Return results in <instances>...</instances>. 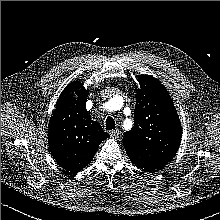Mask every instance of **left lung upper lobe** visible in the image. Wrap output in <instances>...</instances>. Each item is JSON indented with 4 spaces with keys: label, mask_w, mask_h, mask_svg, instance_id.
Wrapping results in <instances>:
<instances>
[{
    "label": "left lung upper lobe",
    "mask_w": 220,
    "mask_h": 220,
    "mask_svg": "<svg viewBox=\"0 0 220 220\" xmlns=\"http://www.w3.org/2000/svg\"><path fill=\"white\" fill-rule=\"evenodd\" d=\"M134 126L123 145L129 159L146 172H157L176 155L182 127L165 87L151 75L138 77Z\"/></svg>",
    "instance_id": "1"
}]
</instances>
